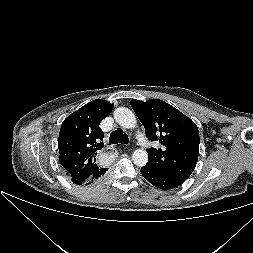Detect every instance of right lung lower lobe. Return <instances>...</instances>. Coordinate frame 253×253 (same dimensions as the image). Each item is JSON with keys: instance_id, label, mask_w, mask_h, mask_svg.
Listing matches in <instances>:
<instances>
[{"instance_id": "1", "label": "right lung lower lobe", "mask_w": 253, "mask_h": 253, "mask_svg": "<svg viewBox=\"0 0 253 253\" xmlns=\"http://www.w3.org/2000/svg\"><path fill=\"white\" fill-rule=\"evenodd\" d=\"M107 170H108V169H106L104 172L98 174V175L96 176L95 179H93V180H91V181H89V182H87V183H85V184H83V185H87V184H90V183H92V182H94V181H97L99 178H101V177L105 174V172H106Z\"/></svg>"}]
</instances>
